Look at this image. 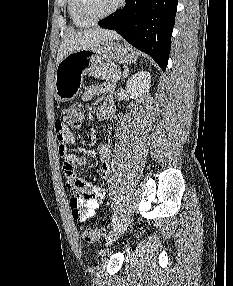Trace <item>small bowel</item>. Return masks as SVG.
<instances>
[{
    "label": "small bowel",
    "mask_w": 233,
    "mask_h": 286,
    "mask_svg": "<svg viewBox=\"0 0 233 286\" xmlns=\"http://www.w3.org/2000/svg\"><path fill=\"white\" fill-rule=\"evenodd\" d=\"M95 96H103V104L98 108L96 116L99 119H109L114 115V101L112 97V86L108 84L87 86L82 95L83 101H89ZM56 138L58 141V152L63 159V175L67 189L73 196L78 198V205L74 206L70 200L72 217L78 221L92 217L100 202L105 197V191L90 182L80 178L77 174L79 167L87 164L84 155L72 154L68 151V146L74 143L72 131L62 122L55 123ZM101 163V179L107 180L110 175V148L102 144L98 150Z\"/></svg>",
    "instance_id": "obj_1"
}]
</instances>
